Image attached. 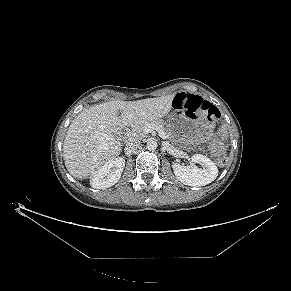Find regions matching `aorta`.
Wrapping results in <instances>:
<instances>
[{
  "label": "aorta",
  "instance_id": "aorta-1",
  "mask_svg": "<svg viewBox=\"0 0 291 291\" xmlns=\"http://www.w3.org/2000/svg\"><path fill=\"white\" fill-rule=\"evenodd\" d=\"M157 146H158V144H157L156 140H154V139H151L147 142V149L149 151H155L157 149Z\"/></svg>",
  "mask_w": 291,
  "mask_h": 291
}]
</instances>
